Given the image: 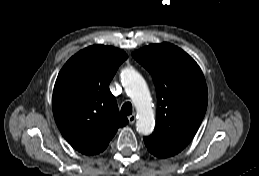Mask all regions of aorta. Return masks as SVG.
I'll list each match as a JSON object with an SVG mask.
<instances>
[{
  "label": "aorta",
  "instance_id": "aorta-1",
  "mask_svg": "<svg viewBox=\"0 0 259 176\" xmlns=\"http://www.w3.org/2000/svg\"><path fill=\"white\" fill-rule=\"evenodd\" d=\"M123 86L137 110V131L143 135L152 133L155 125L152 99L144 78L134 69L122 72Z\"/></svg>",
  "mask_w": 259,
  "mask_h": 176
}]
</instances>
